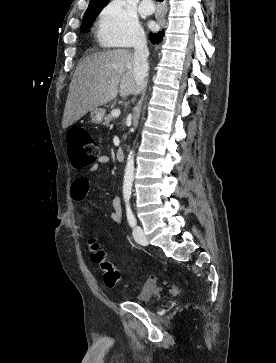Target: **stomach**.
I'll return each mask as SVG.
<instances>
[{"instance_id":"stomach-1","label":"stomach","mask_w":276,"mask_h":363,"mask_svg":"<svg viewBox=\"0 0 276 363\" xmlns=\"http://www.w3.org/2000/svg\"><path fill=\"white\" fill-rule=\"evenodd\" d=\"M104 115H105V109L103 108H96L91 110L90 117L92 123L100 124L103 121Z\"/></svg>"}]
</instances>
